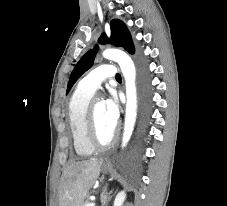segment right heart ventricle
<instances>
[{"mask_svg": "<svg viewBox=\"0 0 227 206\" xmlns=\"http://www.w3.org/2000/svg\"><path fill=\"white\" fill-rule=\"evenodd\" d=\"M93 92L77 87L70 97L67 109V121L75 153L80 157L90 156L94 152L86 134L88 106Z\"/></svg>", "mask_w": 227, "mask_h": 206, "instance_id": "1", "label": "right heart ventricle"}]
</instances>
